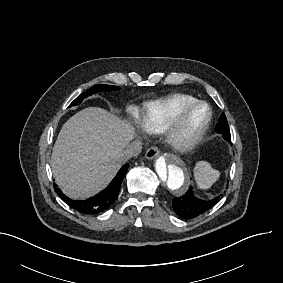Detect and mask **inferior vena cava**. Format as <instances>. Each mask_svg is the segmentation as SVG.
Listing matches in <instances>:
<instances>
[{
  "label": "inferior vena cava",
  "mask_w": 283,
  "mask_h": 283,
  "mask_svg": "<svg viewBox=\"0 0 283 283\" xmlns=\"http://www.w3.org/2000/svg\"><path fill=\"white\" fill-rule=\"evenodd\" d=\"M142 150V145L139 140L133 141L132 143L128 144L125 149L123 150L120 158L123 161H126L132 157H136L140 154Z\"/></svg>",
  "instance_id": "inferior-vena-cava-1"
}]
</instances>
